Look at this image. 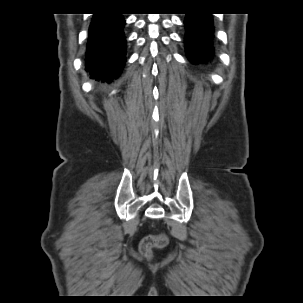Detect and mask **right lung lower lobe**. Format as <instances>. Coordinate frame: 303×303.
<instances>
[{"label": "right lung lower lobe", "mask_w": 303, "mask_h": 303, "mask_svg": "<svg viewBox=\"0 0 303 303\" xmlns=\"http://www.w3.org/2000/svg\"><path fill=\"white\" fill-rule=\"evenodd\" d=\"M124 25L121 14L94 15L86 51V70L92 78L110 81L121 73L126 56Z\"/></svg>", "instance_id": "obj_1"}]
</instances>
